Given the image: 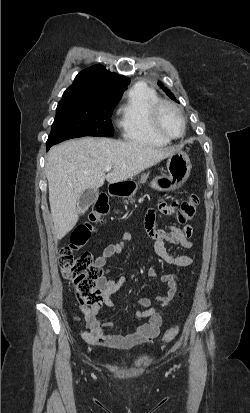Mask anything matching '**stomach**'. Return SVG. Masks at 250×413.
I'll return each mask as SVG.
<instances>
[{
  "label": "stomach",
  "mask_w": 250,
  "mask_h": 413,
  "mask_svg": "<svg viewBox=\"0 0 250 413\" xmlns=\"http://www.w3.org/2000/svg\"><path fill=\"white\" fill-rule=\"evenodd\" d=\"M168 175L155 178L151 186L160 191H175L182 187L187 181L190 171L191 163L188 155L184 152L176 151L168 157L167 161ZM136 185L130 181H125L121 186L120 195L134 196Z\"/></svg>",
  "instance_id": "stomach-1"
}]
</instances>
